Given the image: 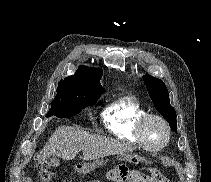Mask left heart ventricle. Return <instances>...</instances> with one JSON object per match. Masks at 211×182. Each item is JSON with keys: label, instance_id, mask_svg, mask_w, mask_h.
Here are the masks:
<instances>
[{"label": "left heart ventricle", "instance_id": "b2bd125f", "mask_svg": "<svg viewBox=\"0 0 211 182\" xmlns=\"http://www.w3.org/2000/svg\"><path fill=\"white\" fill-rule=\"evenodd\" d=\"M145 138L150 146L160 145L166 138V131L158 120H150L144 128Z\"/></svg>", "mask_w": 211, "mask_h": 182}]
</instances>
